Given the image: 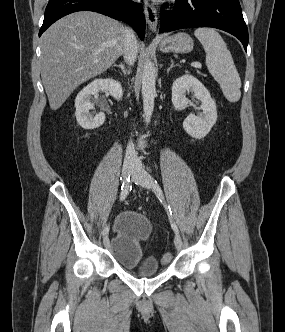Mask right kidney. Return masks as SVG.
Returning a JSON list of instances; mask_svg holds the SVG:
<instances>
[{"mask_svg": "<svg viewBox=\"0 0 285 332\" xmlns=\"http://www.w3.org/2000/svg\"><path fill=\"white\" fill-rule=\"evenodd\" d=\"M100 91L109 93L116 100H120L123 95L121 83L112 78L95 79L84 87L75 99V116L78 124L84 129L98 128L105 121V114L103 112L95 116L89 112L94 109V104L90 102L91 96H98Z\"/></svg>", "mask_w": 285, "mask_h": 332, "instance_id": "obj_1", "label": "right kidney"}]
</instances>
